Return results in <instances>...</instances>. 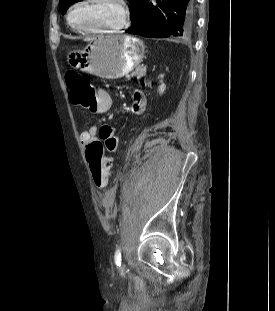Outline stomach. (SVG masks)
I'll return each instance as SVG.
<instances>
[{"mask_svg":"<svg viewBox=\"0 0 275 311\" xmlns=\"http://www.w3.org/2000/svg\"><path fill=\"white\" fill-rule=\"evenodd\" d=\"M144 53V43L138 38L102 35L92 39L83 50L69 51L67 63L104 79H116L138 67Z\"/></svg>","mask_w":275,"mask_h":311,"instance_id":"stomach-1","label":"stomach"}]
</instances>
